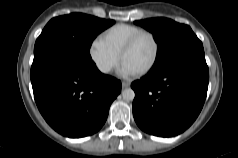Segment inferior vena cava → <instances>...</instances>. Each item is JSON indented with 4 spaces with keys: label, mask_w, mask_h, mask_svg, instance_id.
Segmentation results:
<instances>
[{
    "label": "inferior vena cava",
    "mask_w": 238,
    "mask_h": 158,
    "mask_svg": "<svg viewBox=\"0 0 238 158\" xmlns=\"http://www.w3.org/2000/svg\"><path fill=\"white\" fill-rule=\"evenodd\" d=\"M110 69H111V67H110V65H108V64H101V65H99V70H100L101 72L106 73V72H109Z\"/></svg>",
    "instance_id": "inferior-vena-cava-1"
}]
</instances>
